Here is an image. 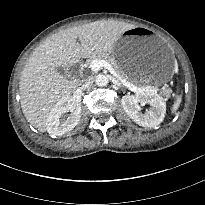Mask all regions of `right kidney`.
<instances>
[{
    "mask_svg": "<svg viewBox=\"0 0 205 205\" xmlns=\"http://www.w3.org/2000/svg\"><path fill=\"white\" fill-rule=\"evenodd\" d=\"M70 111V115L65 118V114ZM81 113V105L73 103L70 96L60 99L47 118V131L51 135L62 136L70 132L77 126Z\"/></svg>",
    "mask_w": 205,
    "mask_h": 205,
    "instance_id": "obj_1",
    "label": "right kidney"
}]
</instances>
